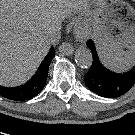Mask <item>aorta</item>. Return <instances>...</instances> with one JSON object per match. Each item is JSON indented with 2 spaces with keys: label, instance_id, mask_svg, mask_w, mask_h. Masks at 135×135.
Returning a JSON list of instances; mask_svg holds the SVG:
<instances>
[{
  "label": "aorta",
  "instance_id": "1",
  "mask_svg": "<svg viewBox=\"0 0 135 135\" xmlns=\"http://www.w3.org/2000/svg\"><path fill=\"white\" fill-rule=\"evenodd\" d=\"M75 62L81 68H89L92 64V54L88 48L80 47L75 51Z\"/></svg>",
  "mask_w": 135,
  "mask_h": 135
}]
</instances>
